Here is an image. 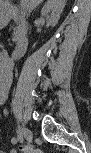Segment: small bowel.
Instances as JSON below:
<instances>
[{
  "instance_id": "1",
  "label": "small bowel",
  "mask_w": 91,
  "mask_h": 153,
  "mask_svg": "<svg viewBox=\"0 0 91 153\" xmlns=\"http://www.w3.org/2000/svg\"><path fill=\"white\" fill-rule=\"evenodd\" d=\"M13 66L11 62L6 58L0 59V102L5 103L9 97V90L13 77ZM11 144H16L17 139L11 138ZM14 152V151H12Z\"/></svg>"
}]
</instances>
